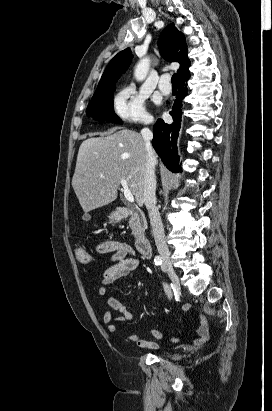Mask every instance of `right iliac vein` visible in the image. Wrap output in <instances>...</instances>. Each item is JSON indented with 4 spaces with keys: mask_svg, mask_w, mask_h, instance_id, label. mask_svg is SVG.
Instances as JSON below:
<instances>
[{
    "mask_svg": "<svg viewBox=\"0 0 272 411\" xmlns=\"http://www.w3.org/2000/svg\"><path fill=\"white\" fill-rule=\"evenodd\" d=\"M165 272L168 274L170 280L172 281L173 285L179 289L180 288V283H179V278L173 269V267L170 265V263L165 262L164 264Z\"/></svg>",
    "mask_w": 272,
    "mask_h": 411,
    "instance_id": "obj_1",
    "label": "right iliac vein"
}]
</instances>
